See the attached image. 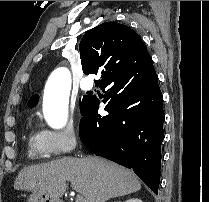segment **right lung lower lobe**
Segmentation results:
<instances>
[{"mask_svg": "<svg viewBox=\"0 0 209 202\" xmlns=\"http://www.w3.org/2000/svg\"><path fill=\"white\" fill-rule=\"evenodd\" d=\"M146 70L130 76L122 86L111 81L100 88L105 92V115L98 114L100 100L89 96L82 113L79 135L95 155L131 168L158 194L161 168V144L164 139L163 96L152 58L144 57Z\"/></svg>", "mask_w": 209, "mask_h": 202, "instance_id": "98d812e1", "label": "right lung lower lobe"}]
</instances>
